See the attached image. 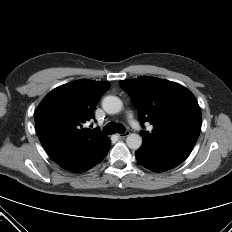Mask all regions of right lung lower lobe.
Listing matches in <instances>:
<instances>
[{
  "label": "right lung lower lobe",
  "instance_id": "obj_1",
  "mask_svg": "<svg viewBox=\"0 0 232 232\" xmlns=\"http://www.w3.org/2000/svg\"><path fill=\"white\" fill-rule=\"evenodd\" d=\"M110 146L103 152L85 158L73 159L60 164V166L71 172H83L100 163L106 156Z\"/></svg>",
  "mask_w": 232,
  "mask_h": 232
}]
</instances>
